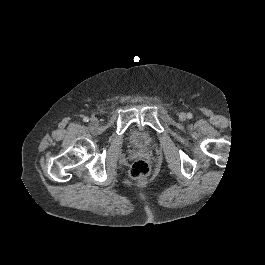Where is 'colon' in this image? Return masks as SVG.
I'll use <instances>...</instances> for the list:
<instances>
[{
	"instance_id": "colon-1",
	"label": "colon",
	"mask_w": 265,
	"mask_h": 265,
	"mask_svg": "<svg viewBox=\"0 0 265 265\" xmlns=\"http://www.w3.org/2000/svg\"><path fill=\"white\" fill-rule=\"evenodd\" d=\"M150 172V165L146 160L139 159L133 162L129 174L133 179H142Z\"/></svg>"
}]
</instances>
